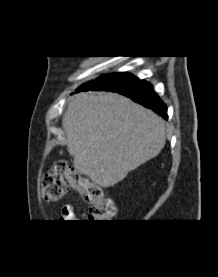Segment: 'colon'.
I'll return each instance as SVG.
<instances>
[{
  "instance_id": "1",
  "label": "colon",
  "mask_w": 218,
  "mask_h": 277,
  "mask_svg": "<svg viewBox=\"0 0 218 277\" xmlns=\"http://www.w3.org/2000/svg\"><path fill=\"white\" fill-rule=\"evenodd\" d=\"M68 187L78 191L89 205L88 218L91 222H107L116 215L113 200L104 195L101 187L66 161H57L42 178V198L46 202L59 201Z\"/></svg>"
}]
</instances>
